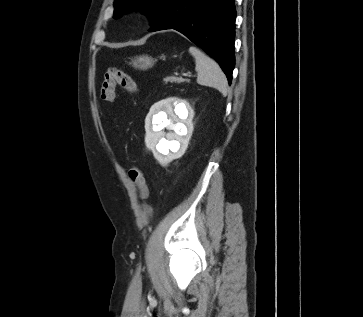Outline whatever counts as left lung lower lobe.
Here are the masks:
<instances>
[{
    "mask_svg": "<svg viewBox=\"0 0 363 317\" xmlns=\"http://www.w3.org/2000/svg\"><path fill=\"white\" fill-rule=\"evenodd\" d=\"M235 18L234 0H166L149 31L181 32L219 63L231 83Z\"/></svg>",
    "mask_w": 363,
    "mask_h": 317,
    "instance_id": "obj_1",
    "label": "left lung lower lobe"
}]
</instances>
